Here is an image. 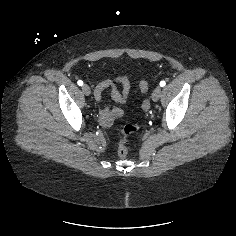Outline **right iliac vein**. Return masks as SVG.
<instances>
[{
    "label": "right iliac vein",
    "mask_w": 236,
    "mask_h": 236,
    "mask_svg": "<svg viewBox=\"0 0 236 236\" xmlns=\"http://www.w3.org/2000/svg\"><path fill=\"white\" fill-rule=\"evenodd\" d=\"M82 91L86 96H89L91 94V89L88 85H83L82 86Z\"/></svg>",
    "instance_id": "right-iliac-vein-1"
}]
</instances>
